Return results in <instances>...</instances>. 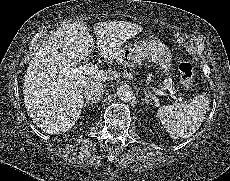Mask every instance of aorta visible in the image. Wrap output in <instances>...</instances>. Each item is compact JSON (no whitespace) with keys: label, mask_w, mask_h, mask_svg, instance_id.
<instances>
[{"label":"aorta","mask_w":230,"mask_h":181,"mask_svg":"<svg viewBox=\"0 0 230 181\" xmlns=\"http://www.w3.org/2000/svg\"><path fill=\"white\" fill-rule=\"evenodd\" d=\"M117 94L122 102L133 103L135 101V94L129 86L120 87Z\"/></svg>","instance_id":"1"}]
</instances>
